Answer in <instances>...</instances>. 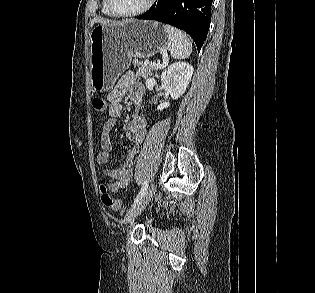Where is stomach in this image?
Returning a JSON list of instances; mask_svg holds the SVG:
<instances>
[{
	"instance_id": "1",
	"label": "stomach",
	"mask_w": 315,
	"mask_h": 293,
	"mask_svg": "<svg viewBox=\"0 0 315 293\" xmlns=\"http://www.w3.org/2000/svg\"><path fill=\"white\" fill-rule=\"evenodd\" d=\"M169 45L164 26L155 21L128 20L100 24L90 33V78L94 91L110 90L132 58H150Z\"/></svg>"
}]
</instances>
